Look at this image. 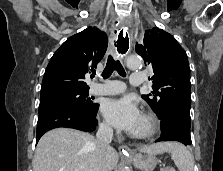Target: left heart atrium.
<instances>
[{"instance_id": "39dd6f15", "label": "left heart atrium", "mask_w": 223, "mask_h": 171, "mask_svg": "<svg viewBox=\"0 0 223 171\" xmlns=\"http://www.w3.org/2000/svg\"><path fill=\"white\" fill-rule=\"evenodd\" d=\"M101 112L115 128L129 133H133L141 119L138 106L130 97L104 101Z\"/></svg>"}]
</instances>
